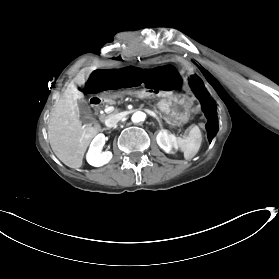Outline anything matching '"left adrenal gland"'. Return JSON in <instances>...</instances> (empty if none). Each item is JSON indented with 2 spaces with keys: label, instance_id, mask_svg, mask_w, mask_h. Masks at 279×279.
<instances>
[{
  "label": "left adrenal gland",
  "instance_id": "1",
  "mask_svg": "<svg viewBox=\"0 0 279 279\" xmlns=\"http://www.w3.org/2000/svg\"><path fill=\"white\" fill-rule=\"evenodd\" d=\"M155 118H156V120L158 121V123H159V125L161 127L162 126V122H161L160 118L158 116H155Z\"/></svg>",
  "mask_w": 279,
  "mask_h": 279
}]
</instances>
